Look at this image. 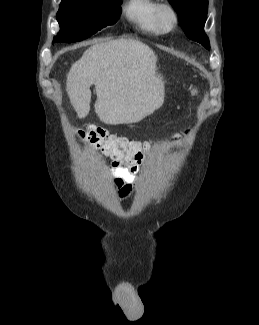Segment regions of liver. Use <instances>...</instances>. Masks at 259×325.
Listing matches in <instances>:
<instances>
[{
    "instance_id": "liver-1",
    "label": "liver",
    "mask_w": 259,
    "mask_h": 325,
    "mask_svg": "<svg viewBox=\"0 0 259 325\" xmlns=\"http://www.w3.org/2000/svg\"><path fill=\"white\" fill-rule=\"evenodd\" d=\"M156 62L154 51L138 40L117 39L88 48L67 74L66 91L77 116L89 114L93 84L95 112L103 123H137L152 114L164 102Z\"/></svg>"
}]
</instances>
